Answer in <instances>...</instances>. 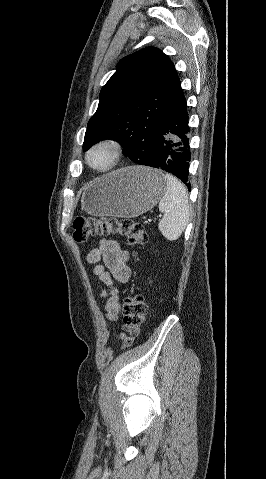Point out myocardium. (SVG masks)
<instances>
[{
    "instance_id": "f54148a6",
    "label": "myocardium",
    "mask_w": 266,
    "mask_h": 479,
    "mask_svg": "<svg viewBox=\"0 0 266 479\" xmlns=\"http://www.w3.org/2000/svg\"><path fill=\"white\" fill-rule=\"evenodd\" d=\"M104 151L108 155V162L105 166H98L93 162V156ZM122 152L121 144L115 139H102L94 143L86 153V162L93 170L106 173L111 171L117 164Z\"/></svg>"
}]
</instances>
